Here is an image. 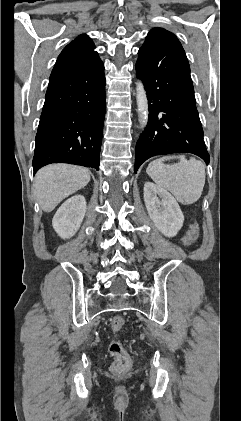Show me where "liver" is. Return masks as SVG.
Instances as JSON below:
<instances>
[{
  "label": "liver",
  "instance_id": "obj_1",
  "mask_svg": "<svg viewBox=\"0 0 241 421\" xmlns=\"http://www.w3.org/2000/svg\"><path fill=\"white\" fill-rule=\"evenodd\" d=\"M90 171L69 164H51L35 175L34 196L45 212H51L65 198L85 187Z\"/></svg>",
  "mask_w": 241,
  "mask_h": 421
}]
</instances>
